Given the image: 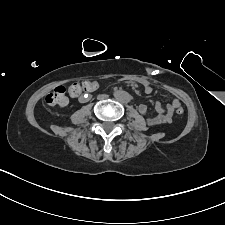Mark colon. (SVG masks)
Returning a JSON list of instances; mask_svg holds the SVG:
<instances>
[{
  "label": "colon",
  "mask_w": 225,
  "mask_h": 225,
  "mask_svg": "<svg viewBox=\"0 0 225 225\" xmlns=\"http://www.w3.org/2000/svg\"><path fill=\"white\" fill-rule=\"evenodd\" d=\"M93 88V82L91 80H85L82 82H76L70 85L68 92L71 96L77 97L83 92H88ZM48 105H65L68 102L66 97V88L64 86H57L51 91L45 99ZM184 109L179 106L176 108L178 115L183 114Z\"/></svg>",
  "instance_id": "colon-1"
}]
</instances>
